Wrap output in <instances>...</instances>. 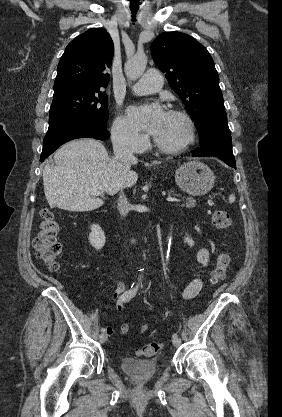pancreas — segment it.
Masks as SVG:
<instances>
[{
    "mask_svg": "<svg viewBox=\"0 0 282 417\" xmlns=\"http://www.w3.org/2000/svg\"><path fill=\"white\" fill-rule=\"evenodd\" d=\"M174 190H168V194H173ZM175 196H181V194H175ZM187 202L185 204H181V206H186V209H192V206H196V200H194L193 196H187Z\"/></svg>",
    "mask_w": 282,
    "mask_h": 417,
    "instance_id": "cf45deb5",
    "label": "pancreas"
}]
</instances>
